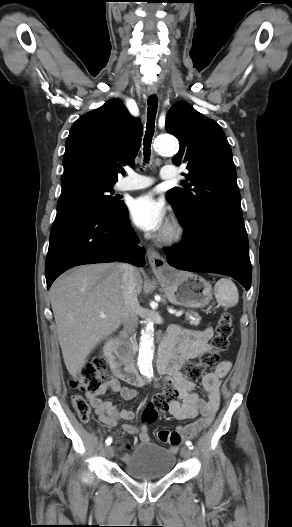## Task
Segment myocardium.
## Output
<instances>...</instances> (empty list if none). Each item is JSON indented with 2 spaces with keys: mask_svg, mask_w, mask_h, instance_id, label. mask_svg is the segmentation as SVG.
<instances>
[{
  "mask_svg": "<svg viewBox=\"0 0 292 527\" xmlns=\"http://www.w3.org/2000/svg\"><path fill=\"white\" fill-rule=\"evenodd\" d=\"M184 236V228L182 224L173 220L160 235L159 240L165 244H173L182 239Z\"/></svg>",
  "mask_w": 292,
  "mask_h": 527,
  "instance_id": "f54148a6",
  "label": "myocardium"
}]
</instances>
